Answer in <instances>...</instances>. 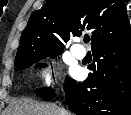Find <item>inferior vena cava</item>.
Listing matches in <instances>:
<instances>
[{"label":"inferior vena cava","instance_id":"1","mask_svg":"<svg viewBox=\"0 0 131 115\" xmlns=\"http://www.w3.org/2000/svg\"><path fill=\"white\" fill-rule=\"evenodd\" d=\"M61 115H67V112H66V110H64V109H61Z\"/></svg>","mask_w":131,"mask_h":115}]
</instances>
